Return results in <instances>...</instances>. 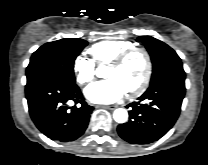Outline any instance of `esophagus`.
Listing matches in <instances>:
<instances>
[{"mask_svg": "<svg viewBox=\"0 0 208 165\" xmlns=\"http://www.w3.org/2000/svg\"><path fill=\"white\" fill-rule=\"evenodd\" d=\"M96 107L97 108H104V109L114 110L117 106L116 105H110V106H107V105H97Z\"/></svg>", "mask_w": 208, "mask_h": 165, "instance_id": "1", "label": "esophagus"}]
</instances>
